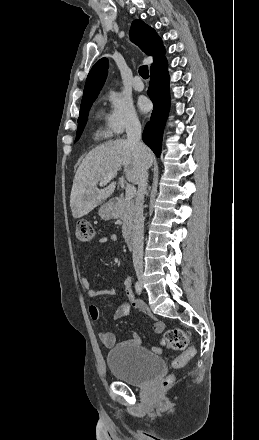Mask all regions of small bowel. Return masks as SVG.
<instances>
[{
    "label": "small bowel",
    "instance_id": "obj_1",
    "mask_svg": "<svg viewBox=\"0 0 259 440\" xmlns=\"http://www.w3.org/2000/svg\"><path fill=\"white\" fill-rule=\"evenodd\" d=\"M113 241L116 242L118 240V236L116 234H112L109 238L102 237L99 239V244H104L107 241ZM81 285L83 289L85 290L86 294L90 298H95L102 295H113L114 290L113 289H104V290H96L91 287L88 279L86 277L81 278ZM125 287H126V294L130 300V303H122L117 308L114 317L116 319H121L125 317L130 310V307L133 306L134 308H137L139 311L144 313L146 316H148L153 321V329L155 332L160 333L164 330V323L154 317V315L151 313L149 308L140 300L136 299L132 290L131 280L130 278H127L125 281ZM89 315L91 319L97 320L99 318V309L96 305L91 304L89 306ZM98 338L100 342L106 347V348H112L115 345V337L112 333L106 332V331H100L98 333ZM123 345H140L141 344V338L138 334H133L132 337L123 342ZM154 352L159 353L161 350L160 348L154 347L152 349Z\"/></svg>",
    "mask_w": 259,
    "mask_h": 440
}]
</instances>
